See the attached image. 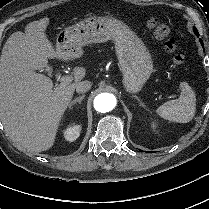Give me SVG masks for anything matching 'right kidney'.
<instances>
[{
    "mask_svg": "<svg viewBox=\"0 0 209 209\" xmlns=\"http://www.w3.org/2000/svg\"><path fill=\"white\" fill-rule=\"evenodd\" d=\"M81 128V125H72L68 127L64 131V138L69 142L76 140L80 135Z\"/></svg>",
    "mask_w": 209,
    "mask_h": 209,
    "instance_id": "right-kidney-1",
    "label": "right kidney"
}]
</instances>
